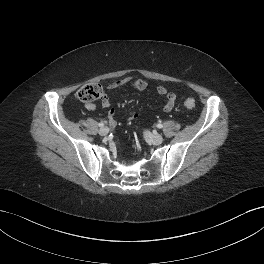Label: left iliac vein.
I'll use <instances>...</instances> for the list:
<instances>
[{
	"instance_id": "4c4485c4",
	"label": "left iliac vein",
	"mask_w": 264,
	"mask_h": 264,
	"mask_svg": "<svg viewBox=\"0 0 264 264\" xmlns=\"http://www.w3.org/2000/svg\"><path fill=\"white\" fill-rule=\"evenodd\" d=\"M146 136L148 140L154 145H159L163 142V137L160 134L147 132Z\"/></svg>"
}]
</instances>
